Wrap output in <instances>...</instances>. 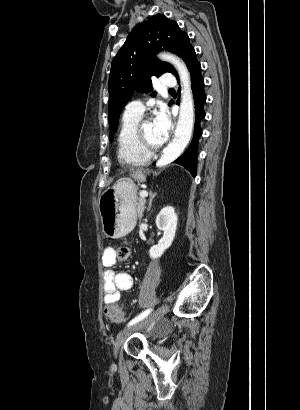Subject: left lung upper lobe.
I'll list each match as a JSON object with an SVG mask.
<instances>
[{
	"label": "left lung upper lobe",
	"instance_id": "left-lung-upper-lobe-1",
	"mask_svg": "<svg viewBox=\"0 0 300 410\" xmlns=\"http://www.w3.org/2000/svg\"><path fill=\"white\" fill-rule=\"evenodd\" d=\"M161 50L177 54L187 66L195 53L187 33L175 21L157 14L132 30L112 61L108 85L110 141L117 130L120 113L135 90L150 91L151 77H160L165 72L178 78L172 65L154 56ZM172 104L173 101L169 103Z\"/></svg>",
	"mask_w": 300,
	"mask_h": 410
}]
</instances>
